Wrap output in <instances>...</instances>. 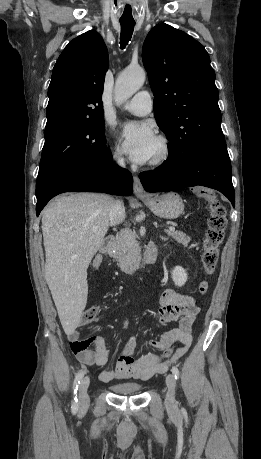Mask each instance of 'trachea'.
I'll return each mask as SVG.
<instances>
[{
  "instance_id": "obj_1",
  "label": "trachea",
  "mask_w": 261,
  "mask_h": 459,
  "mask_svg": "<svg viewBox=\"0 0 261 459\" xmlns=\"http://www.w3.org/2000/svg\"><path fill=\"white\" fill-rule=\"evenodd\" d=\"M121 25V37H120V48L124 49L128 42L131 40L135 21L134 20H120Z\"/></svg>"
}]
</instances>
